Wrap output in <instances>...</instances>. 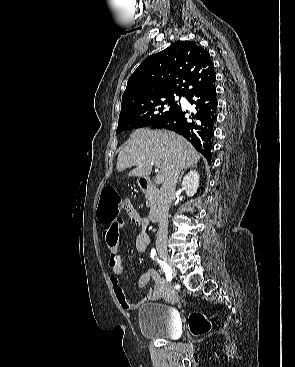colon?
<instances>
[{
    "mask_svg": "<svg viewBox=\"0 0 295 367\" xmlns=\"http://www.w3.org/2000/svg\"><path fill=\"white\" fill-rule=\"evenodd\" d=\"M124 208V201L117 193L114 187L106 186L103 188L99 203V220L102 223H108L118 218L121 209ZM188 325L194 336H201L207 333L211 324L208 318L200 313L193 312L188 318Z\"/></svg>",
    "mask_w": 295,
    "mask_h": 367,
    "instance_id": "colon-1",
    "label": "colon"
}]
</instances>
